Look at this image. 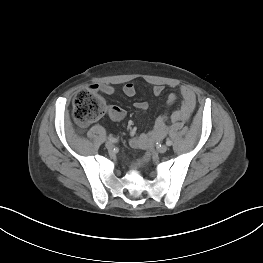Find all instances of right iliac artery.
Segmentation results:
<instances>
[{
  "label": "right iliac artery",
  "mask_w": 263,
  "mask_h": 263,
  "mask_svg": "<svg viewBox=\"0 0 263 263\" xmlns=\"http://www.w3.org/2000/svg\"><path fill=\"white\" fill-rule=\"evenodd\" d=\"M108 140H109L110 142H112V143H116V142L118 141V139H116V138H114V137H112V136H109V137H108Z\"/></svg>",
  "instance_id": "82829eb1"
}]
</instances>
